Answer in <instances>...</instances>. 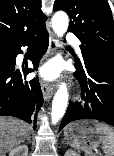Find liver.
I'll use <instances>...</instances> for the list:
<instances>
[{
    "label": "liver",
    "mask_w": 114,
    "mask_h": 156,
    "mask_svg": "<svg viewBox=\"0 0 114 156\" xmlns=\"http://www.w3.org/2000/svg\"><path fill=\"white\" fill-rule=\"evenodd\" d=\"M31 127L16 118L0 117V156L21 144L30 135Z\"/></svg>",
    "instance_id": "obj_1"
}]
</instances>
